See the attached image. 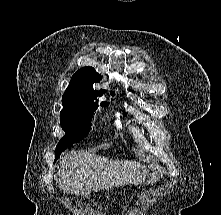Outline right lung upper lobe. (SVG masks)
Instances as JSON below:
<instances>
[{"label": "right lung upper lobe", "instance_id": "1", "mask_svg": "<svg viewBox=\"0 0 221 215\" xmlns=\"http://www.w3.org/2000/svg\"><path fill=\"white\" fill-rule=\"evenodd\" d=\"M99 75L92 67L79 69L71 78L70 84L62 97L64 108L78 107L89 103H95L94 99L101 96L106 90L93 89V83L99 82ZM113 94V92H111Z\"/></svg>", "mask_w": 221, "mask_h": 215}]
</instances>
